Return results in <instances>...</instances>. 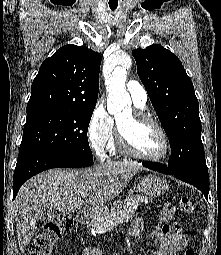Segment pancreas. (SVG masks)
Masks as SVG:
<instances>
[{"instance_id": "1", "label": "pancreas", "mask_w": 221, "mask_h": 255, "mask_svg": "<svg viewBox=\"0 0 221 255\" xmlns=\"http://www.w3.org/2000/svg\"><path fill=\"white\" fill-rule=\"evenodd\" d=\"M140 203V196H127L116 204L115 207L111 209L106 208L101 216L91 223V226L97 233L111 230L114 226L132 219Z\"/></svg>"}]
</instances>
